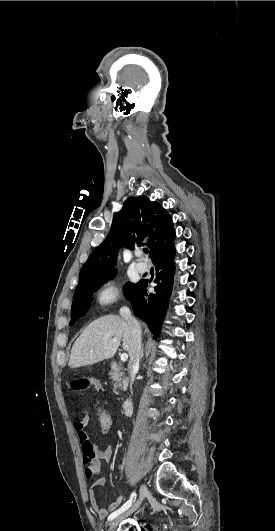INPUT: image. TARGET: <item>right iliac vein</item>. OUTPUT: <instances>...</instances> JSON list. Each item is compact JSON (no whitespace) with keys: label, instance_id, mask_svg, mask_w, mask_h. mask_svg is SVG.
<instances>
[{"label":"right iliac vein","instance_id":"right-iliac-vein-1","mask_svg":"<svg viewBox=\"0 0 275 531\" xmlns=\"http://www.w3.org/2000/svg\"><path fill=\"white\" fill-rule=\"evenodd\" d=\"M148 495V489H147V486L145 484H142L140 486V497L139 499L134 503V505L124 514L118 516L115 520L112 521V523L110 524L109 526V529L108 531H115L119 522L124 519L125 517L129 516L130 514H132L138 507L139 505L141 504L143 498Z\"/></svg>","mask_w":275,"mask_h":531}]
</instances>
